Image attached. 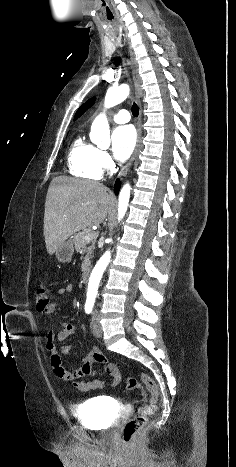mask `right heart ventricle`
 <instances>
[{
  "instance_id": "right-heart-ventricle-1",
  "label": "right heart ventricle",
  "mask_w": 236,
  "mask_h": 467,
  "mask_svg": "<svg viewBox=\"0 0 236 467\" xmlns=\"http://www.w3.org/2000/svg\"><path fill=\"white\" fill-rule=\"evenodd\" d=\"M97 148L78 136L68 152L67 167L71 175L90 180L101 178L102 171L96 160Z\"/></svg>"
}]
</instances>
